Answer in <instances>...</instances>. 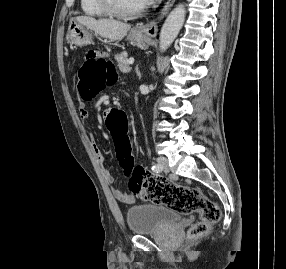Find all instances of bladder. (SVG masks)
<instances>
[{
	"mask_svg": "<svg viewBox=\"0 0 286 269\" xmlns=\"http://www.w3.org/2000/svg\"><path fill=\"white\" fill-rule=\"evenodd\" d=\"M180 219V214L159 205H137L128 208L126 212L129 230L134 235H145L167 229Z\"/></svg>",
	"mask_w": 286,
	"mask_h": 269,
	"instance_id": "obj_1",
	"label": "bladder"
}]
</instances>
